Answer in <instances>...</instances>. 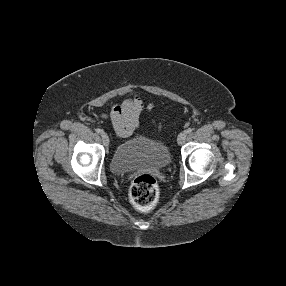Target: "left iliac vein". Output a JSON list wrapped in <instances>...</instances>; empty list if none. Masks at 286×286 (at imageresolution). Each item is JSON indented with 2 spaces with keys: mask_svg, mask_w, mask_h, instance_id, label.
<instances>
[{
  "mask_svg": "<svg viewBox=\"0 0 286 286\" xmlns=\"http://www.w3.org/2000/svg\"><path fill=\"white\" fill-rule=\"evenodd\" d=\"M186 137H187L186 131L181 132V133L178 135V138H177L178 144H179V145H182V144L185 142Z\"/></svg>",
  "mask_w": 286,
  "mask_h": 286,
  "instance_id": "1",
  "label": "left iliac vein"
}]
</instances>
